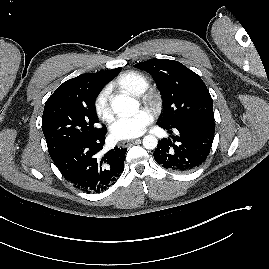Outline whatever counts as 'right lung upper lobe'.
I'll use <instances>...</instances> for the list:
<instances>
[{
	"instance_id": "cb5924a9",
	"label": "right lung upper lobe",
	"mask_w": 269,
	"mask_h": 269,
	"mask_svg": "<svg viewBox=\"0 0 269 269\" xmlns=\"http://www.w3.org/2000/svg\"><path fill=\"white\" fill-rule=\"evenodd\" d=\"M121 68L109 71H100L97 73H89L77 76L76 78L67 80L61 84L50 97L67 95L80 91H99L113 79Z\"/></svg>"
}]
</instances>
